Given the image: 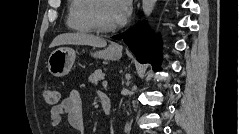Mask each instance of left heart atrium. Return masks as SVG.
I'll return each mask as SVG.
<instances>
[{
    "label": "left heart atrium",
    "instance_id": "39dd6f15",
    "mask_svg": "<svg viewBox=\"0 0 239 134\" xmlns=\"http://www.w3.org/2000/svg\"><path fill=\"white\" fill-rule=\"evenodd\" d=\"M111 11L116 24H121L131 13V2L129 0H113L111 1Z\"/></svg>",
    "mask_w": 239,
    "mask_h": 134
}]
</instances>
